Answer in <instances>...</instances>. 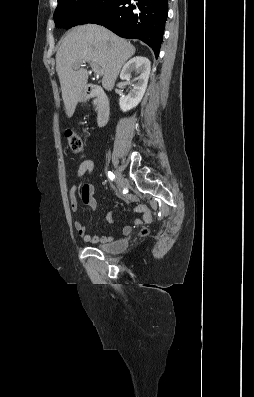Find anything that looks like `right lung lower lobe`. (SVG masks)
I'll return each instance as SVG.
<instances>
[{
	"label": "right lung lower lobe",
	"instance_id": "98d812e1",
	"mask_svg": "<svg viewBox=\"0 0 254 397\" xmlns=\"http://www.w3.org/2000/svg\"><path fill=\"white\" fill-rule=\"evenodd\" d=\"M167 3L168 0H114L89 23L103 25L124 38L140 39L158 57L168 16Z\"/></svg>",
	"mask_w": 254,
	"mask_h": 397
}]
</instances>
